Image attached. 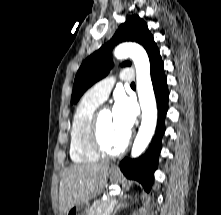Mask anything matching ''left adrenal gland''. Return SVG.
Wrapping results in <instances>:
<instances>
[{
    "label": "left adrenal gland",
    "instance_id": "a2214340",
    "mask_svg": "<svg viewBox=\"0 0 221 215\" xmlns=\"http://www.w3.org/2000/svg\"><path fill=\"white\" fill-rule=\"evenodd\" d=\"M128 206V204L125 202V201H121V202H119V203H117L116 204V208H115V210H114V214L118 211V210H120V208H122V207H127Z\"/></svg>",
    "mask_w": 221,
    "mask_h": 215
}]
</instances>
